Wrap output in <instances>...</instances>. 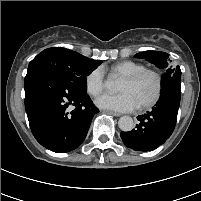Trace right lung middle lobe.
Instances as JSON below:
<instances>
[{"instance_id":"right-lung-middle-lobe-1","label":"right lung middle lobe","mask_w":201,"mask_h":201,"mask_svg":"<svg viewBox=\"0 0 201 201\" xmlns=\"http://www.w3.org/2000/svg\"><path fill=\"white\" fill-rule=\"evenodd\" d=\"M101 63L66 48H48L29 63L28 72L38 68L49 69L72 82L78 91L86 93V76Z\"/></svg>"}]
</instances>
